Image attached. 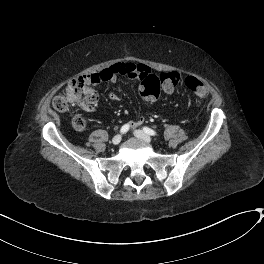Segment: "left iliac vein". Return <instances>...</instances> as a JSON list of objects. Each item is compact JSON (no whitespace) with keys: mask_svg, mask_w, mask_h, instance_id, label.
<instances>
[{"mask_svg":"<svg viewBox=\"0 0 264 264\" xmlns=\"http://www.w3.org/2000/svg\"><path fill=\"white\" fill-rule=\"evenodd\" d=\"M134 135L137 138L142 139L143 141H145L147 143H151L152 142L151 137L148 134H146L144 131H142V130H135L134 131Z\"/></svg>","mask_w":264,"mask_h":264,"instance_id":"4c4485c4","label":"left iliac vein"}]
</instances>
